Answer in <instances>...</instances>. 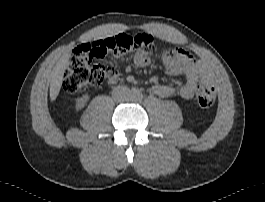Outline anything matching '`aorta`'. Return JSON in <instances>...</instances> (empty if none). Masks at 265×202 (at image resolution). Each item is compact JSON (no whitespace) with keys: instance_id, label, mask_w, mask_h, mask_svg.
Here are the masks:
<instances>
[{"instance_id":"obj_1","label":"aorta","mask_w":265,"mask_h":202,"mask_svg":"<svg viewBox=\"0 0 265 202\" xmlns=\"http://www.w3.org/2000/svg\"><path fill=\"white\" fill-rule=\"evenodd\" d=\"M138 95H139V93L137 91L133 92V97L138 96Z\"/></svg>"}]
</instances>
